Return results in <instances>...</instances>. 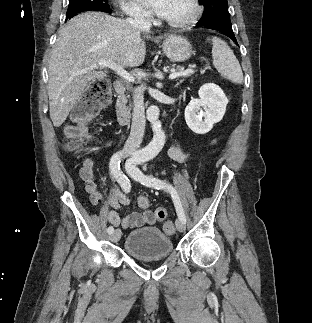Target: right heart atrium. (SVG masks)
<instances>
[{
	"instance_id": "obj_1",
	"label": "right heart atrium",
	"mask_w": 312,
	"mask_h": 323,
	"mask_svg": "<svg viewBox=\"0 0 312 323\" xmlns=\"http://www.w3.org/2000/svg\"><path fill=\"white\" fill-rule=\"evenodd\" d=\"M113 9H119L120 13H128L129 17H151V10H141V6H134L133 2L124 0H107Z\"/></svg>"
}]
</instances>
